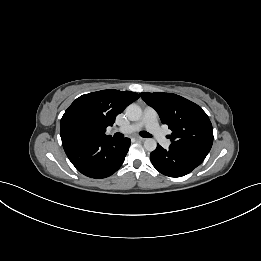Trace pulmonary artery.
<instances>
[{"instance_id":"1","label":"pulmonary artery","mask_w":261,"mask_h":261,"mask_svg":"<svg viewBox=\"0 0 261 261\" xmlns=\"http://www.w3.org/2000/svg\"><path fill=\"white\" fill-rule=\"evenodd\" d=\"M142 127H145L157 141L165 148L169 147L171 141L166 137V134L162 131L158 123L157 113L151 107H146L143 112L142 119L138 122L129 124L127 126L117 128L115 131L130 134L140 130Z\"/></svg>"}]
</instances>
